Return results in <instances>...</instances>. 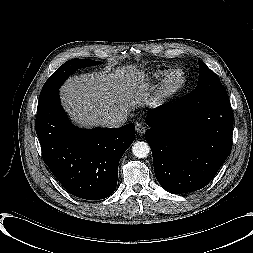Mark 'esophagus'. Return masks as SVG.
<instances>
[{
    "label": "esophagus",
    "instance_id": "1",
    "mask_svg": "<svg viewBox=\"0 0 253 253\" xmlns=\"http://www.w3.org/2000/svg\"><path fill=\"white\" fill-rule=\"evenodd\" d=\"M135 129H136V132L140 135H143L146 130L145 126L142 123H137L135 126Z\"/></svg>",
    "mask_w": 253,
    "mask_h": 253
}]
</instances>
